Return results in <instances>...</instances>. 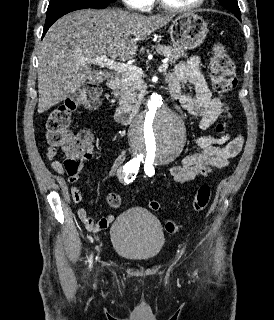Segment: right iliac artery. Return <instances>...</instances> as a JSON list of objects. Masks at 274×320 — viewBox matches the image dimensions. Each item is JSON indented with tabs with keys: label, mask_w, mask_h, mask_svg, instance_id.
<instances>
[{
	"label": "right iliac artery",
	"mask_w": 274,
	"mask_h": 320,
	"mask_svg": "<svg viewBox=\"0 0 274 320\" xmlns=\"http://www.w3.org/2000/svg\"><path fill=\"white\" fill-rule=\"evenodd\" d=\"M140 161H141L140 159H132L128 163L125 164L123 171L126 174L125 181L127 183H130L132 180H134L135 175L137 174L139 166H140ZM91 264H92V257L90 259V266H91Z\"/></svg>",
	"instance_id": "1"
}]
</instances>
